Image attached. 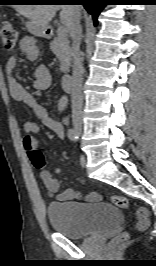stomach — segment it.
<instances>
[{
  "label": "stomach",
  "mask_w": 156,
  "mask_h": 266,
  "mask_svg": "<svg viewBox=\"0 0 156 266\" xmlns=\"http://www.w3.org/2000/svg\"><path fill=\"white\" fill-rule=\"evenodd\" d=\"M27 28L34 35H42L45 32L44 28L34 25L31 21L27 23Z\"/></svg>",
  "instance_id": "1"
}]
</instances>
